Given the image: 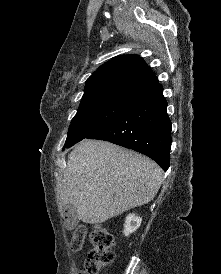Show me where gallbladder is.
<instances>
[{"instance_id": "bac80fb5", "label": "gallbladder", "mask_w": 221, "mask_h": 274, "mask_svg": "<svg viewBox=\"0 0 221 274\" xmlns=\"http://www.w3.org/2000/svg\"><path fill=\"white\" fill-rule=\"evenodd\" d=\"M67 211H68L67 216L69 220H71V222L76 225L79 222L77 208L71 205L67 207Z\"/></svg>"}]
</instances>
